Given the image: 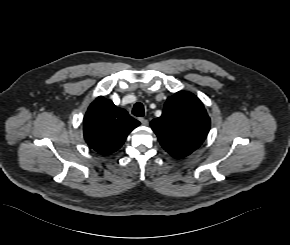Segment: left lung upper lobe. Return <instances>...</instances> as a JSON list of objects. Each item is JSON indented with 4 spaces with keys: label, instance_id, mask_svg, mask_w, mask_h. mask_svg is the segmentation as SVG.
I'll list each match as a JSON object with an SVG mask.
<instances>
[{
    "label": "left lung upper lobe",
    "instance_id": "5c2ea615",
    "mask_svg": "<svg viewBox=\"0 0 290 245\" xmlns=\"http://www.w3.org/2000/svg\"><path fill=\"white\" fill-rule=\"evenodd\" d=\"M151 127L170 155L183 158L205 140L210 118L194 94L180 91L167 99L161 117L152 120Z\"/></svg>",
    "mask_w": 290,
    "mask_h": 245
}]
</instances>
